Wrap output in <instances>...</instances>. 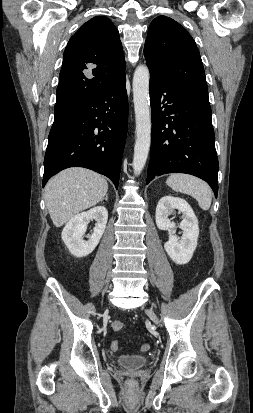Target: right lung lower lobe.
Segmentation results:
<instances>
[{
    "label": "right lung lower lobe",
    "instance_id": "right-lung-lower-lobe-1",
    "mask_svg": "<svg viewBox=\"0 0 253 413\" xmlns=\"http://www.w3.org/2000/svg\"><path fill=\"white\" fill-rule=\"evenodd\" d=\"M128 125L125 76L103 92L54 113L44 159L43 186L68 167H84L118 188Z\"/></svg>",
    "mask_w": 253,
    "mask_h": 413
}]
</instances>
